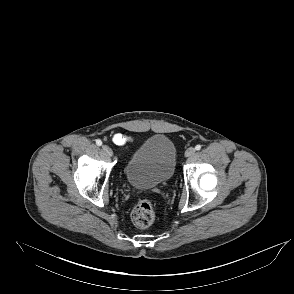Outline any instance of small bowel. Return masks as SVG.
<instances>
[{"mask_svg":"<svg viewBox=\"0 0 294 294\" xmlns=\"http://www.w3.org/2000/svg\"><path fill=\"white\" fill-rule=\"evenodd\" d=\"M130 141H132V138L122 133H116L113 136V142L119 146L125 145Z\"/></svg>","mask_w":294,"mask_h":294,"instance_id":"small-bowel-1","label":"small bowel"}]
</instances>
